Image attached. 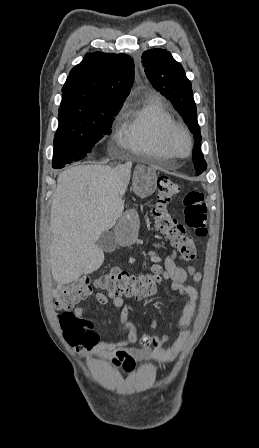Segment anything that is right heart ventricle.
<instances>
[{
	"label": "right heart ventricle",
	"instance_id": "1",
	"mask_svg": "<svg viewBox=\"0 0 259 448\" xmlns=\"http://www.w3.org/2000/svg\"><path fill=\"white\" fill-rule=\"evenodd\" d=\"M173 121V115L158 96H151L148 103L141 97L124 104L117 119L118 133L125 147L136 150L126 155L132 156V163H145L140 151L164 150L161 134Z\"/></svg>",
	"mask_w": 259,
	"mask_h": 448
}]
</instances>
